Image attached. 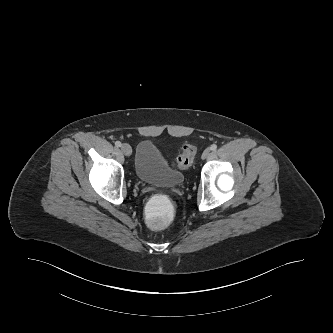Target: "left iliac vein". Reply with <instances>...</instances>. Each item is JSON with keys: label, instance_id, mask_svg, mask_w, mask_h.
Returning a JSON list of instances; mask_svg holds the SVG:
<instances>
[{"label": "left iliac vein", "instance_id": "4c4485c4", "mask_svg": "<svg viewBox=\"0 0 333 333\" xmlns=\"http://www.w3.org/2000/svg\"><path fill=\"white\" fill-rule=\"evenodd\" d=\"M210 152L211 151H210L209 148L205 149L204 152H203V154H202V158L206 159L210 155Z\"/></svg>", "mask_w": 333, "mask_h": 333}]
</instances>
